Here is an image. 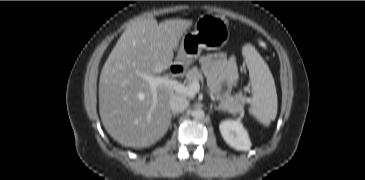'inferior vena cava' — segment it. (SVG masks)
<instances>
[{
    "label": "inferior vena cava",
    "mask_w": 365,
    "mask_h": 180,
    "mask_svg": "<svg viewBox=\"0 0 365 180\" xmlns=\"http://www.w3.org/2000/svg\"><path fill=\"white\" fill-rule=\"evenodd\" d=\"M170 109L173 113L184 111L188 106V100L179 94H174L169 100Z\"/></svg>",
    "instance_id": "inferior-vena-cava-1"
}]
</instances>
